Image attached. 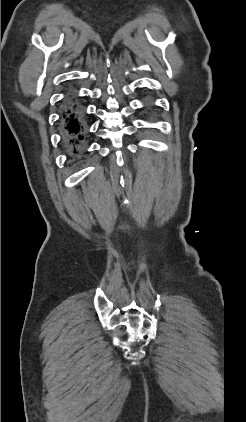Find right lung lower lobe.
<instances>
[{
    "label": "right lung lower lobe",
    "mask_w": 246,
    "mask_h": 422,
    "mask_svg": "<svg viewBox=\"0 0 246 422\" xmlns=\"http://www.w3.org/2000/svg\"><path fill=\"white\" fill-rule=\"evenodd\" d=\"M60 126L64 145L70 150L73 158L77 159L84 144L86 129L82 108L73 97L65 100Z\"/></svg>",
    "instance_id": "right-lung-lower-lobe-1"
}]
</instances>
